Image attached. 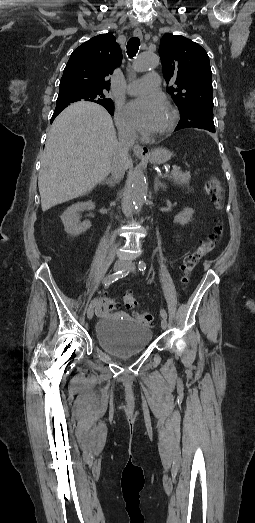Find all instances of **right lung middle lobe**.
<instances>
[{
	"label": "right lung middle lobe",
	"mask_w": 255,
	"mask_h": 523,
	"mask_svg": "<svg viewBox=\"0 0 255 523\" xmlns=\"http://www.w3.org/2000/svg\"><path fill=\"white\" fill-rule=\"evenodd\" d=\"M85 99L87 101H92L95 103H99L106 100H111L106 98V93L102 92H94V91H86V90H79V89H66V90H60V93L57 98V103L59 102H75Z\"/></svg>",
	"instance_id": "dd1d6c3e"
}]
</instances>
